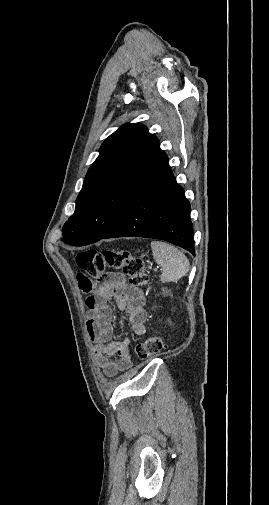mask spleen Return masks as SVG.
Listing matches in <instances>:
<instances>
[{
    "label": "spleen",
    "mask_w": 269,
    "mask_h": 505,
    "mask_svg": "<svg viewBox=\"0 0 269 505\" xmlns=\"http://www.w3.org/2000/svg\"><path fill=\"white\" fill-rule=\"evenodd\" d=\"M155 262L161 266L162 282H177L189 270V261L182 251L175 246L162 241L151 242Z\"/></svg>",
    "instance_id": "obj_1"
}]
</instances>
